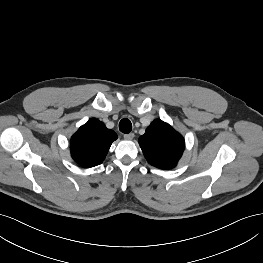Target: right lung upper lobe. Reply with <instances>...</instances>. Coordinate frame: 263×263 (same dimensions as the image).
<instances>
[{
	"label": "right lung upper lobe",
	"mask_w": 263,
	"mask_h": 263,
	"mask_svg": "<svg viewBox=\"0 0 263 263\" xmlns=\"http://www.w3.org/2000/svg\"><path fill=\"white\" fill-rule=\"evenodd\" d=\"M117 134L104 123L90 119L71 138L72 158L84 167H94L103 162Z\"/></svg>",
	"instance_id": "1"
}]
</instances>
